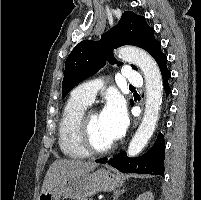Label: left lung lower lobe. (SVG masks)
I'll return each mask as SVG.
<instances>
[{
	"label": "left lung lower lobe",
	"instance_id": "0a47b994",
	"mask_svg": "<svg viewBox=\"0 0 201 200\" xmlns=\"http://www.w3.org/2000/svg\"><path fill=\"white\" fill-rule=\"evenodd\" d=\"M160 68L163 85L166 92V97L170 94L171 89L168 84L170 78V71L167 69V56L161 54L156 59ZM164 158H165V142L164 137L159 133L154 145L143 156L136 158H129L126 152H120L113 158L107 160L102 158L96 160L97 163H108L112 167L118 169L122 173H139L151 175H164Z\"/></svg>",
	"mask_w": 201,
	"mask_h": 200
}]
</instances>
